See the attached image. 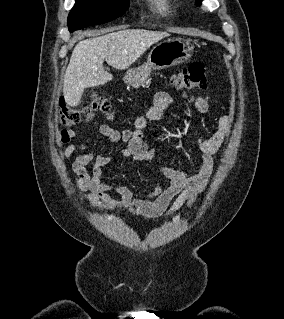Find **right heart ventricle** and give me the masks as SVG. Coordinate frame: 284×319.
<instances>
[{
  "label": "right heart ventricle",
  "instance_id": "right-heart-ventricle-1",
  "mask_svg": "<svg viewBox=\"0 0 284 319\" xmlns=\"http://www.w3.org/2000/svg\"><path fill=\"white\" fill-rule=\"evenodd\" d=\"M151 8L160 15H172L177 11V5L173 0H149Z\"/></svg>",
  "mask_w": 284,
  "mask_h": 319
}]
</instances>
